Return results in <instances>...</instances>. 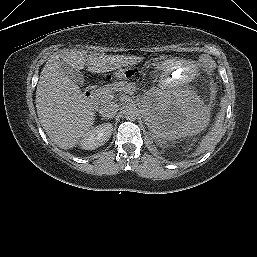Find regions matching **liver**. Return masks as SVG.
Listing matches in <instances>:
<instances>
[{"label":"liver","mask_w":257,"mask_h":257,"mask_svg":"<svg viewBox=\"0 0 257 257\" xmlns=\"http://www.w3.org/2000/svg\"><path fill=\"white\" fill-rule=\"evenodd\" d=\"M141 58L125 55L87 54L86 50H63L49 56L36 89L40 123L51 141L68 150L90 131L95 113L80 87L64 72L63 63L91 73L114 71L135 64Z\"/></svg>","instance_id":"6515ba94"}]
</instances>
